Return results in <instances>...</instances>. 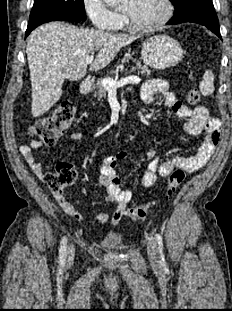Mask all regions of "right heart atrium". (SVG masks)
I'll use <instances>...</instances> for the list:
<instances>
[{"mask_svg": "<svg viewBox=\"0 0 232 311\" xmlns=\"http://www.w3.org/2000/svg\"><path fill=\"white\" fill-rule=\"evenodd\" d=\"M83 8L95 29L115 30L122 19L121 14L110 9L105 0H83Z\"/></svg>", "mask_w": 232, "mask_h": 311, "instance_id": "right-heart-atrium-1", "label": "right heart atrium"}]
</instances>
